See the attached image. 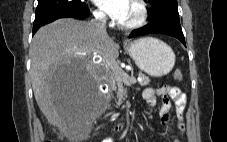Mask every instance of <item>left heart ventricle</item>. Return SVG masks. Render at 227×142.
Listing matches in <instances>:
<instances>
[{
  "label": "left heart ventricle",
  "instance_id": "1",
  "mask_svg": "<svg viewBox=\"0 0 227 142\" xmlns=\"http://www.w3.org/2000/svg\"><path fill=\"white\" fill-rule=\"evenodd\" d=\"M138 16V8L136 4L131 0L128 12L125 16V18L121 21V23H130L134 21Z\"/></svg>",
  "mask_w": 227,
  "mask_h": 142
}]
</instances>
